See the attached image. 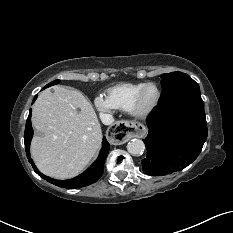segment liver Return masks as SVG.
Here are the masks:
<instances>
[{"mask_svg":"<svg viewBox=\"0 0 233 233\" xmlns=\"http://www.w3.org/2000/svg\"><path fill=\"white\" fill-rule=\"evenodd\" d=\"M31 156L38 169L56 179L77 176L100 148L101 127L91 103L75 89L42 91L32 109Z\"/></svg>","mask_w":233,"mask_h":233,"instance_id":"liver-1","label":"liver"}]
</instances>
